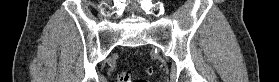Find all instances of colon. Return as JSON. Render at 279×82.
<instances>
[{
    "label": "colon",
    "mask_w": 279,
    "mask_h": 82,
    "mask_svg": "<svg viewBox=\"0 0 279 82\" xmlns=\"http://www.w3.org/2000/svg\"><path fill=\"white\" fill-rule=\"evenodd\" d=\"M147 72L151 74L154 72V70L152 68H149ZM132 79L133 74L130 71H125L119 73L116 80L117 82H132Z\"/></svg>",
    "instance_id": "obj_1"
}]
</instances>
